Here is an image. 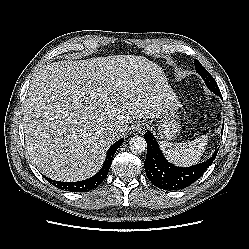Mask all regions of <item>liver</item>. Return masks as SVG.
I'll return each instance as SVG.
<instances>
[{"instance_id": "6515ba94", "label": "liver", "mask_w": 249, "mask_h": 249, "mask_svg": "<svg viewBox=\"0 0 249 249\" xmlns=\"http://www.w3.org/2000/svg\"><path fill=\"white\" fill-rule=\"evenodd\" d=\"M171 93L163 69L143 56L51 63L30 84L22 108L30 159L53 180L87 179L128 124L157 119ZM116 128L123 131L114 137Z\"/></svg>"}]
</instances>
